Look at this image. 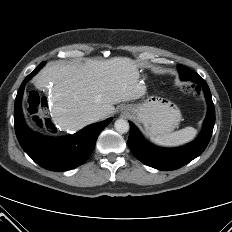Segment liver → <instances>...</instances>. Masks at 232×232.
Listing matches in <instances>:
<instances>
[{
	"label": "liver",
	"mask_w": 232,
	"mask_h": 232,
	"mask_svg": "<svg viewBox=\"0 0 232 232\" xmlns=\"http://www.w3.org/2000/svg\"><path fill=\"white\" fill-rule=\"evenodd\" d=\"M139 79L134 60L115 57L104 61L88 59L84 64L55 63L43 68L34 84L38 89L53 85V122L62 130L76 132L92 123V113L104 112L108 117L115 112V104L145 95L146 86Z\"/></svg>",
	"instance_id": "liver-1"
}]
</instances>
